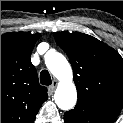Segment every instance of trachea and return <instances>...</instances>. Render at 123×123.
<instances>
[{"label": "trachea", "instance_id": "trachea-1", "mask_svg": "<svg viewBox=\"0 0 123 123\" xmlns=\"http://www.w3.org/2000/svg\"><path fill=\"white\" fill-rule=\"evenodd\" d=\"M40 80H41V84H43V85H51V83H52L50 74L47 70L41 71Z\"/></svg>", "mask_w": 123, "mask_h": 123}]
</instances>
